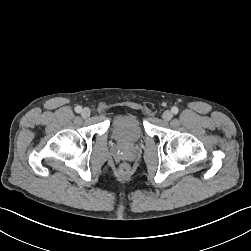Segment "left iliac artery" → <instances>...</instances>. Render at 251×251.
<instances>
[{"label":"left iliac artery","mask_w":251,"mask_h":251,"mask_svg":"<svg viewBox=\"0 0 251 251\" xmlns=\"http://www.w3.org/2000/svg\"><path fill=\"white\" fill-rule=\"evenodd\" d=\"M171 111L173 114H177L179 110L177 107L174 106V107H172Z\"/></svg>","instance_id":"44dca946"}]
</instances>
